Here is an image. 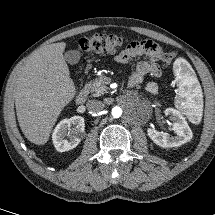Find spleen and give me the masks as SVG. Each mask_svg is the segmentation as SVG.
<instances>
[{
  "mask_svg": "<svg viewBox=\"0 0 215 215\" xmlns=\"http://www.w3.org/2000/svg\"><path fill=\"white\" fill-rule=\"evenodd\" d=\"M174 72L178 80V94L175 105L185 115L198 113L202 109V92L196 77L187 67V61L177 58L174 62Z\"/></svg>",
  "mask_w": 215,
  "mask_h": 215,
  "instance_id": "1",
  "label": "spleen"
}]
</instances>
